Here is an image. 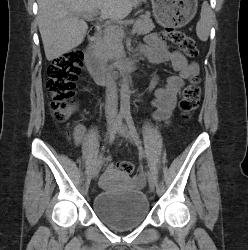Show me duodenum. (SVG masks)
Wrapping results in <instances>:
<instances>
[{
    "label": "duodenum",
    "instance_id": "410a0bca",
    "mask_svg": "<svg viewBox=\"0 0 248 250\" xmlns=\"http://www.w3.org/2000/svg\"><path fill=\"white\" fill-rule=\"evenodd\" d=\"M100 35L101 26H91L88 32V45L85 51L84 62L95 80L100 84H104L133 70L137 66L138 58L131 57L115 64H105L97 51Z\"/></svg>",
    "mask_w": 248,
    "mask_h": 250
}]
</instances>
